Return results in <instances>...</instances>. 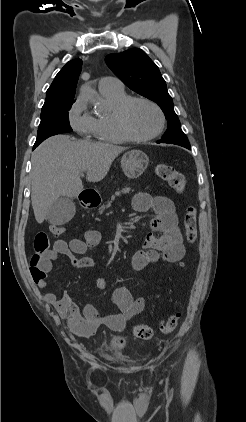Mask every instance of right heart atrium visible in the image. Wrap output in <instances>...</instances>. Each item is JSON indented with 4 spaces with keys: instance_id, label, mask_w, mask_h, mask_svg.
<instances>
[{
    "instance_id": "d8ad5b80",
    "label": "right heart atrium",
    "mask_w": 246,
    "mask_h": 422,
    "mask_svg": "<svg viewBox=\"0 0 246 422\" xmlns=\"http://www.w3.org/2000/svg\"><path fill=\"white\" fill-rule=\"evenodd\" d=\"M68 119L73 130L80 136L87 139L96 137V118L90 115L82 98L72 104Z\"/></svg>"
}]
</instances>
